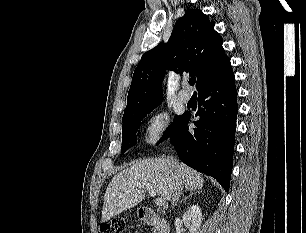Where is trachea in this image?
Masks as SVG:
<instances>
[{"label": "trachea", "mask_w": 306, "mask_h": 233, "mask_svg": "<svg viewBox=\"0 0 306 233\" xmlns=\"http://www.w3.org/2000/svg\"><path fill=\"white\" fill-rule=\"evenodd\" d=\"M195 82H196L195 77H192V78L189 79V84H190V85H194Z\"/></svg>", "instance_id": "obj_1"}]
</instances>
